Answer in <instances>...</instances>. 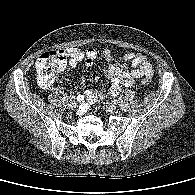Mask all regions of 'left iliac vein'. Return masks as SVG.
Here are the masks:
<instances>
[{
    "label": "left iliac vein",
    "mask_w": 195,
    "mask_h": 195,
    "mask_svg": "<svg viewBox=\"0 0 195 195\" xmlns=\"http://www.w3.org/2000/svg\"><path fill=\"white\" fill-rule=\"evenodd\" d=\"M104 107L109 112H115L117 109L116 105L110 102L105 103Z\"/></svg>",
    "instance_id": "1"
}]
</instances>
